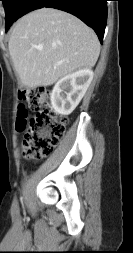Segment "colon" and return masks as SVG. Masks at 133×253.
Returning a JSON list of instances; mask_svg holds the SVG:
<instances>
[{"label":"colon","instance_id":"obj_1","mask_svg":"<svg viewBox=\"0 0 133 253\" xmlns=\"http://www.w3.org/2000/svg\"><path fill=\"white\" fill-rule=\"evenodd\" d=\"M20 98L36 114L29 118L28 110L20 106L17 129L25 131L23 155L25 158H42L50 155L64 136L67 119L57 116L49 107V92L43 87L26 88Z\"/></svg>","mask_w":133,"mask_h":253}]
</instances>
